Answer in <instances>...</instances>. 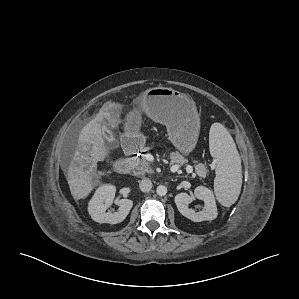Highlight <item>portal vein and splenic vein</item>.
I'll return each instance as SVG.
<instances>
[{
	"instance_id": "1",
	"label": "portal vein and splenic vein",
	"mask_w": 299,
	"mask_h": 299,
	"mask_svg": "<svg viewBox=\"0 0 299 299\" xmlns=\"http://www.w3.org/2000/svg\"><path fill=\"white\" fill-rule=\"evenodd\" d=\"M178 169H179V165H173V166L170 168L171 172H177ZM186 171H187L188 173H192V172H193V167L190 166V165H187V167H186Z\"/></svg>"
}]
</instances>
